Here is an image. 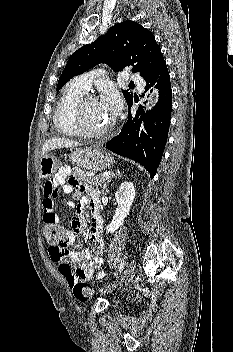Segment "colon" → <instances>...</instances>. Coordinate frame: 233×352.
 I'll return each mask as SVG.
<instances>
[{"mask_svg": "<svg viewBox=\"0 0 233 352\" xmlns=\"http://www.w3.org/2000/svg\"><path fill=\"white\" fill-rule=\"evenodd\" d=\"M42 235L51 246H63L65 244L64 232L59 226L44 224ZM72 291L75 298L82 302L88 300L92 294L91 286L83 281L77 282L72 287Z\"/></svg>", "mask_w": 233, "mask_h": 352, "instance_id": "1", "label": "colon"}]
</instances>
